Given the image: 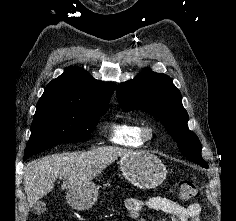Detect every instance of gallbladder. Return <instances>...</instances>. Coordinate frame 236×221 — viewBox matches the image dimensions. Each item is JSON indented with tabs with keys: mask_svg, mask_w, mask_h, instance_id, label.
Masks as SVG:
<instances>
[{
	"mask_svg": "<svg viewBox=\"0 0 236 221\" xmlns=\"http://www.w3.org/2000/svg\"><path fill=\"white\" fill-rule=\"evenodd\" d=\"M33 209L36 214L40 215L45 212L46 210V204L43 201H36L33 205Z\"/></svg>",
	"mask_w": 236,
	"mask_h": 221,
	"instance_id": "bac80fb5",
	"label": "gallbladder"
}]
</instances>
